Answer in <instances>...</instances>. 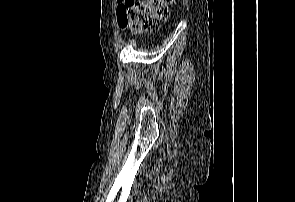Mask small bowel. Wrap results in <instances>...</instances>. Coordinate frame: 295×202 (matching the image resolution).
I'll use <instances>...</instances> for the list:
<instances>
[{"label":"small bowel","mask_w":295,"mask_h":202,"mask_svg":"<svg viewBox=\"0 0 295 202\" xmlns=\"http://www.w3.org/2000/svg\"><path fill=\"white\" fill-rule=\"evenodd\" d=\"M126 6V0H119L118 1V8L121 10Z\"/></svg>","instance_id":"small-bowel-1"}]
</instances>
